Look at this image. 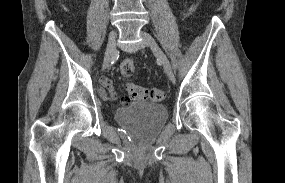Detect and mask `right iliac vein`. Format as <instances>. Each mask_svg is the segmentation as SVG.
<instances>
[{
    "label": "right iliac vein",
    "instance_id": "1",
    "mask_svg": "<svg viewBox=\"0 0 285 183\" xmlns=\"http://www.w3.org/2000/svg\"><path fill=\"white\" fill-rule=\"evenodd\" d=\"M116 31H112L109 35L108 44L105 52L103 68H106L116 54Z\"/></svg>",
    "mask_w": 285,
    "mask_h": 183
}]
</instances>
